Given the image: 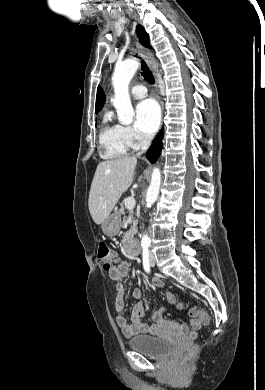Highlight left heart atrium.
Instances as JSON below:
<instances>
[{"label": "left heart atrium", "instance_id": "1", "mask_svg": "<svg viewBox=\"0 0 265 390\" xmlns=\"http://www.w3.org/2000/svg\"><path fill=\"white\" fill-rule=\"evenodd\" d=\"M160 123V110L152 99L139 102L136 106V127L144 134H153Z\"/></svg>", "mask_w": 265, "mask_h": 390}]
</instances>
